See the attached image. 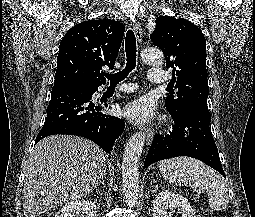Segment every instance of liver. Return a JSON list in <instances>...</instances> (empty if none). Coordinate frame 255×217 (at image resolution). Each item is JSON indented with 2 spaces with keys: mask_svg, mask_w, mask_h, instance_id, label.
<instances>
[{
  "mask_svg": "<svg viewBox=\"0 0 255 217\" xmlns=\"http://www.w3.org/2000/svg\"><path fill=\"white\" fill-rule=\"evenodd\" d=\"M105 159L98 145L78 136L53 135L41 140L25 170V217H36L90 193L105 175Z\"/></svg>",
  "mask_w": 255,
  "mask_h": 217,
  "instance_id": "6515ba94",
  "label": "liver"
}]
</instances>
